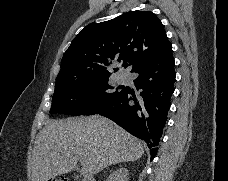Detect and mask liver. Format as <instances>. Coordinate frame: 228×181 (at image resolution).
<instances>
[{
	"mask_svg": "<svg viewBox=\"0 0 228 181\" xmlns=\"http://www.w3.org/2000/svg\"><path fill=\"white\" fill-rule=\"evenodd\" d=\"M144 143L110 119L91 115L49 121L38 133L32 157V181H50L82 165L81 177L94 175L117 163L138 161Z\"/></svg>",
	"mask_w": 228,
	"mask_h": 181,
	"instance_id": "liver-1",
	"label": "liver"
}]
</instances>
